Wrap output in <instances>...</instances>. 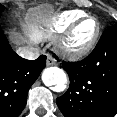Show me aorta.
<instances>
[{"instance_id": "aorta-1", "label": "aorta", "mask_w": 117, "mask_h": 117, "mask_svg": "<svg viewBox=\"0 0 117 117\" xmlns=\"http://www.w3.org/2000/svg\"><path fill=\"white\" fill-rule=\"evenodd\" d=\"M42 81L46 86H56L58 90H62L67 82V76L59 67H48L42 72Z\"/></svg>"}]
</instances>
